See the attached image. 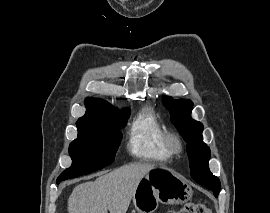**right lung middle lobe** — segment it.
Returning a JSON list of instances; mask_svg holds the SVG:
<instances>
[{"mask_svg":"<svg viewBox=\"0 0 270 213\" xmlns=\"http://www.w3.org/2000/svg\"><path fill=\"white\" fill-rule=\"evenodd\" d=\"M129 115L130 112L110 121L77 122L78 138L69 146L72 165L57 178V183L111 164L122 137L119 129L125 126Z\"/></svg>","mask_w":270,"mask_h":213,"instance_id":"1","label":"right lung middle lobe"}]
</instances>
